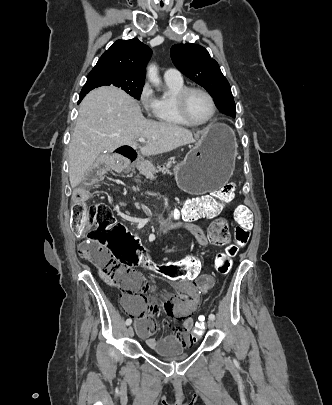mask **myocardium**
<instances>
[{"instance_id":"myocardium-1","label":"myocardium","mask_w":332,"mask_h":405,"mask_svg":"<svg viewBox=\"0 0 332 405\" xmlns=\"http://www.w3.org/2000/svg\"><path fill=\"white\" fill-rule=\"evenodd\" d=\"M201 92L203 93L211 102L212 105V112L211 115L203 120V121H194L192 120L187 112V99L190 93L192 92ZM176 107H177V111L179 116L189 125L191 126H203V125H207L210 122H212L217 114V104L216 101L214 99V97L212 96V94L207 91L205 88L202 87H197V86H191V87H185L183 88L177 95H176Z\"/></svg>"}]
</instances>
